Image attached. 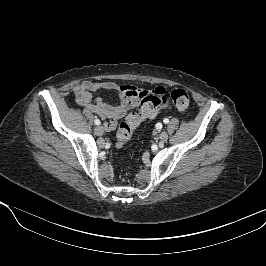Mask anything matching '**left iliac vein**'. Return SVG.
Masks as SVG:
<instances>
[{"mask_svg": "<svg viewBox=\"0 0 266 266\" xmlns=\"http://www.w3.org/2000/svg\"><path fill=\"white\" fill-rule=\"evenodd\" d=\"M160 142L164 143L168 140V134L166 132H162L159 136Z\"/></svg>", "mask_w": 266, "mask_h": 266, "instance_id": "4c4485c4", "label": "left iliac vein"}]
</instances>
